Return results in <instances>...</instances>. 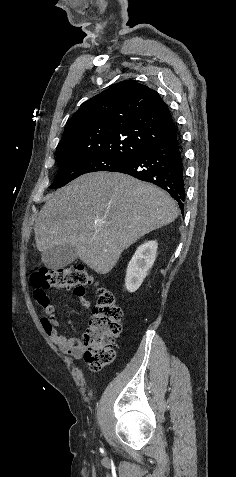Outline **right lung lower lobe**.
<instances>
[{
    "instance_id": "1",
    "label": "right lung lower lobe",
    "mask_w": 236,
    "mask_h": 477,
    "mask_svg": "<svg viewBox=\"0 0 236 477\" xmlns=\"http://www.w3.org/2000/svg\"><path fill=\"white\" fill-rule=\"evenodd\" d=\"M113 172L131 175L166 190L184 209L185 185L180 139L175 132L165 141L134 157Z\"/></svg>"
}]
</instances>
